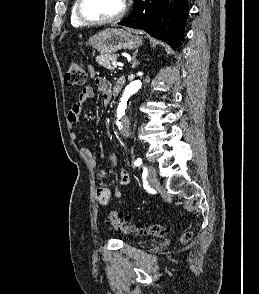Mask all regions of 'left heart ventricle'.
<instances>
[{
    "instance_id": "b2bd125f",
    "label": "left heart ventricle",
    "mask_w": 259,
    "mask_h": 294,
    "mask_svg": "<svg viewBox=\"0 0 259 294\" xmlns=\"http://www.w3.org/2000/svg\"><path fill=\"white\" fill-rule=\"evenodd\" d=\"M123 6V0H84L83 13L90 19H105L116 15Z\"/></svg>"
}]
</instances>
